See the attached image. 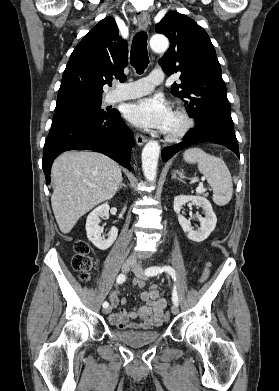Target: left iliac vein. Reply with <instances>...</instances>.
Segmentation results:
<instances>
[{
	"label": "left iliac vein",
	"instance_id": "left-iliac-vein-1",
	"mask_svg": "<svg viewBox=\"0 0 279 391\" xmlns=\"http://www.w3.org/2000/svg\"><path fill=\"white\" fill-rule=\"evenodd\" d=\"M132 271L134 272V274L140 278V279H143V280H147L148 277L145 275L144 273V269L141 267L140 264L138 263H135L132 267ZM171 312L173 315H177L179 313V308L177 305H173L171 307Z\"/></svg>",
	"mask_w": 279,
	"mask_h": 391
}]
</instances>
